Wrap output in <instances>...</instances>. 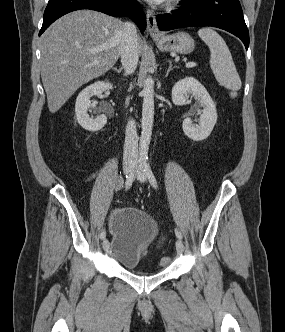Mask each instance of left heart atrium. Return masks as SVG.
<instances>
[{"mask_svg": "<svg viewBox=\"0 0 285 332\" xmlns=\"http://www.w3.org/2000/svg\"><path fill=\"white\" fill-rule=\"evenodd\" d=\"M147 1H149L151 3H154V4H160V3H162L165 0H147Z\"/></svg>", "mask_w": 285, "mask_h": 332, "instance_id": "left-heart-atrium-1", "label": "left heart atrium"}]
</instances>
